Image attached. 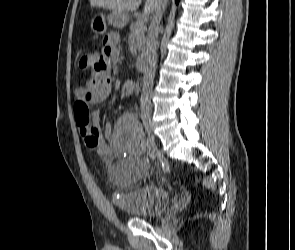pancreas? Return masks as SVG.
<instances>
[{
  "mask_svg": "<svg viewBox=\"0 0 295 250\" xmlns=\"http://www.w3.org/2000/svg\"><path fill=\"white\" fill-rule=\"evenodd\" d=\"M146 24L140 18L137 17L136 21L130 25V33L136 39V48L140 54H143L145 51V37ZM140 58V56L138 57Z\"/></svg>",
  "mask_w": 295,
  "mask_h": 250,
  "instance_id": "cf45deb5",
  "label": "pancreas"
}]
</instances>
